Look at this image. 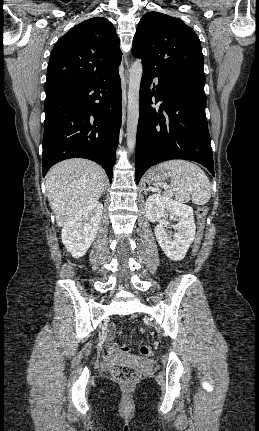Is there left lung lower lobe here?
I'll list each match as a JSON object with an SVG mask.
<instances>
[{"label":"left lung lower lobe","mask_w":259,"mask_h":431,"mask_svg":"<svg viewBox=\"0 0 259 431\" xmlns=\"http://www.w3.org/2000/svg\"><path fill=\"white\" fill-rule=\"evenodd\" d=\"M155 77L158 85L151 87ZM162 101L159 110L152 104ZM135 174L138 184L151 166L170 159L196 161L214 175L204 89L143 67Z\"/></svg>","instance_id":"1"}]
</instances>
